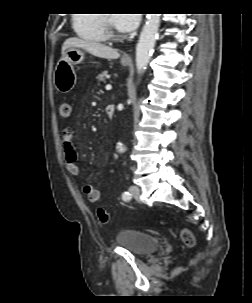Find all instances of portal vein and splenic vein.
<instances>
[{
  "mask_svg": "<svg viewBox=\"0 0 252 303\" xmlns=\"http://www.w3.org/2000/svg\"><path fill=\"white\" fill-rule=\"evenodd\" d=\"M105 89H106V90H111V89H112V86H111L110 84H107V85L105 86Z\"/></svg>",
  "mask_w": 252,
  "mask_h": 303,
  "instance_id": "portal-vein-and-splenic-vein-1",
  "label": "portal vein and splenic vein"
}]
</instances>
